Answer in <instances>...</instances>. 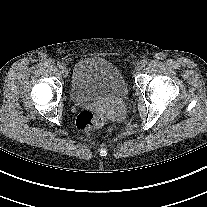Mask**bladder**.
<instances>
[{
  "label": "bladder",
  "instance_id": "bladder-1",
  "mask_svg": "<svg viewBox=\"0 0 207 207\" xmlns=\"http://www.w3.org/2000/svg\"><path fill=\"white\" fill-rule=\"evenodd\" d=\"M128 93V82L109 61L99 57H86L75 64L70 84L74 102L124 99Z\"/></svg>",
  "mask_w": 207,
  "mask_h": 207
}]
</instances>
